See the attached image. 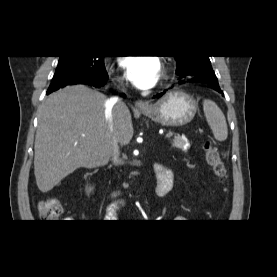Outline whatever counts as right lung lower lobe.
I'll return each mask as SVG.
<instances>
[{
    "label": "right lung lower lobe",
    "mask_w": 277,
    "mask_h": 277,
    "mask_svg": "<svg viewBox=\"0 0 277 277\" xmlns=\"http://www.w3.org/2000/svg\"><path fill=\"white\" fill-rule=\"evenodd\" d=\"M74 84H86V85H90V86H94V87H97V88H100L103 86V84H99L97 82H91V81H88V80H83L81 82H77V83H74ZM53 91H48L47 94L51 93Z\"/></svg>",
    "instance_id": "right-lung-lower-lobe-1"
}]
</instances>
